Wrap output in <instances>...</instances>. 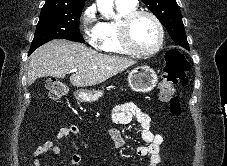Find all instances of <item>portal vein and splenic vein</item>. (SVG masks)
Returning <instances> with one entry per match:
<instances>
[{
	"label": "portal vein and splenic vein",
	"mask_w": 227,
	"mask_h": 166,
	"mask_svg": "<svg viewBox=\"0 0 227 166\" xmlns=\"http://www.w3.org/2000/svg\"><path fill=\"white\" fill-rule=\"evenodd\" d=\"M71 72H77V69H76V68H73V69L71 70Z\"/></svg>",
	"instance_id": "portal-vein-and-splenic-vein-1"
}]
</instances>
